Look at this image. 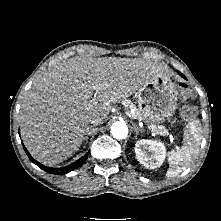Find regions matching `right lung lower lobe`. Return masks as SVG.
Masks as SVG:
<instances>
[{
    "mask_svg": "<svg viewBox=\"0 0 221 221\" xmlns=\"http://www.w3.org/2000/svg\"><path fill=\"white\" fill-rule=\"evenodd\" d=\"M24 147V146H23ZM24 150L26 152V154L28 155L29 159L34 163L36 164L38 167H40L41 169H43L44 171H46L47 173H50V174H56V175H62V174H66L80 166H82L87 157H88V153L85 154L83 157H81L80 159H78L77 161H75L74 163L66 166V167H63V168H52V167H47V166H44L42 165L41 163H39L38 161H36L35 159L32 158V156L30 155V153L27 151V149L24 147Z\"/></svg>",
    "mask_w": 221,
    "mask_h": 221,
    "instance_id": "98d812e1",
    "label": "right lung lower lobe"
}]
</instances>
